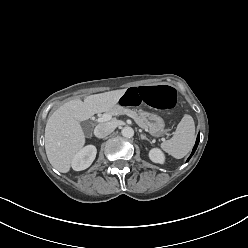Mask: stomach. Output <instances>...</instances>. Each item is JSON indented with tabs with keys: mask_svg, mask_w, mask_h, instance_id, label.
Segmentation results:
<instances>
[{
	"mask_svg": "<svg viewBox=\"0 0 248 248\" xmlns=\"http://www.w3.org/2000/svg\"><path fill=\"white\" fill-rule=\"evenodd\" d=\"M137 116L139 118L143 117V124L147 126L151 135L159 137L167 132V129H165L164 120L160 116L142 111H139Z\"/></svg>",
	"mask_w": 248,
	"mask_h": 248,
	"instance_id": "1",
	"label": "stomach"
}]
</instances>
